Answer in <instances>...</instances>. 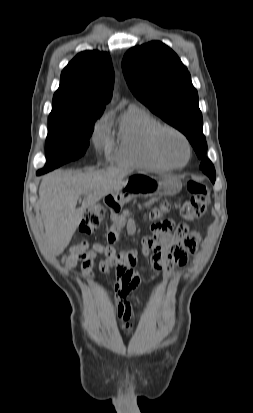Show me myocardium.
<instances>
[{
    "mask_svg": "<svg viewBox=\"0 0 253 413\" xmlns=\"http://www.w3.org/2000/svg\"><path fill=\"white\" fill-rule=\"evenodd\" d=\"M166 132H170V133L177 135L185 144V147L187 150V157L184 163H181V164L174 163L164 153L162 146H161V137ZM150 145L156 157L159 160H161L163 163L168 165L169 167H172V168L185 167L191 159L192 148H191L190 141L188 140L187 136L182 131H180L174 126L167 125V124L157 125L151 132Z\"/></svg>",
    "mask_w": 253,
    "mask_h": 413,
    "instance_id": "obj_1",
    "label": "myocardium"
}]
</instances>
